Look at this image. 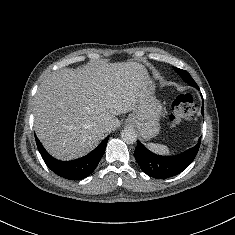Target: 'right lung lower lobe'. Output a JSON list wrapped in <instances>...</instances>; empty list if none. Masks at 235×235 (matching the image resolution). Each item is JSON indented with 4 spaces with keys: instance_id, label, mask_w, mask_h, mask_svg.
<instances>
[{
    "instance_id": "1",
    "label": "right lung lower lobe",
    "mask_w": 235,
    "mask_h": 235,
    "mask_svg": "<svg viewBox=\"0 0 235 235\" xmlns=\"http://www.w3.org/2000/svg\"><path fill=\"white\" fill-rule=\"evenodd\" d=\"M108 138L106 137L96 149L82 158L72 161H59L48 154L35 136L38 150L46 165L57 175L69 180L83 179L95 170L105 152Z\"/></svg>"
}]
</instances>
